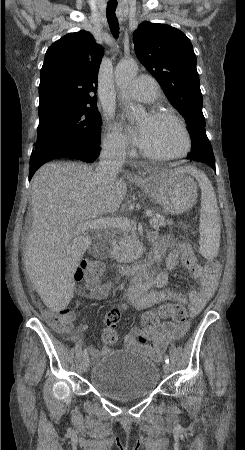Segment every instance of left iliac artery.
I'll list each match as a JSON object with an SVG mask.
<instances>
[{"instance_id": "44dca946", "label": "left iliac artery", "mask_w": 245, "mask_h": 450, "mask_svg": "<svg viewBox=\"0 0 245 450\" xmlns=\"http://www.w3.org/2000/svg\"><path fill=\"white\" fill-rule=\"evenodd\" d=\"M164 358H165V362H166V363H169V356H168V355H165Z\"/></svg>"}]
</instances>
